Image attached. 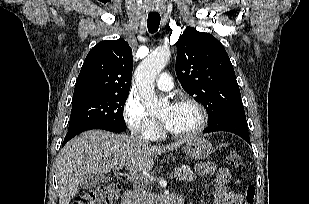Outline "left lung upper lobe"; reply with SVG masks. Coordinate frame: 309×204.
Wrapping results in <instances>:
<instances>
[{
  "label": "left lung upper lobe",
  "mask_w": 309,
  "mask_h": 204,
  "mask_svg": "<svg viewBox=\"0 0 309 204\" xmlns=\"http://www.w3.org/2000/svg\"><path fill=\"white\" fill-rule=\"evenodd\" d=\"M176 74L183 89L203 104L208 122L244 109L229 56L211 34L185 29L177 41Z\"/></svg>",
  "instance_id": "5c2ea615"
}]
</instances>
